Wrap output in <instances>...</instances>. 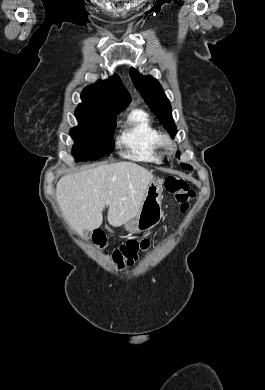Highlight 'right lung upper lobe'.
Masks as SVG:
<instances>
[{"mask_svg":"<svg viewBox=\"0 0 265 390\" xmlns=\"http://www.w3.org/2000/svg\"><path fill=\"white\" fill-rule=\"evenodd\" d=\"M81 109L97 110L117 116L131 102L130 94L123 86L118 75L107 80H99L92 86H87L81 94Z\"/></svg>","mask_w":265,"mask_h":390,"instance_id":"1","label":"right lung upper lobe"}]
</instances>
